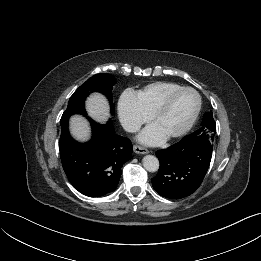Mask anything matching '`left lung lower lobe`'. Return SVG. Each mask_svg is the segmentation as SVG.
Masks as SVG:
<instances>
[{"label":"left lung lower lobe","instance_id":"0a47b994","mask_svg":"<svg viewBox=\"0 0 261 261\" xmlns=\"http://www.w3.org/2000/svg\"><path fill=\"white\" fill-rule=\"evenodd\" d=\"M212 143L202 136H185L167 149L158 150V174L152 178L154 190L162 197L180 199L201 185L212 157Z\"/></svg>","mask_w":261,"mask_h":261}]
</instances>
